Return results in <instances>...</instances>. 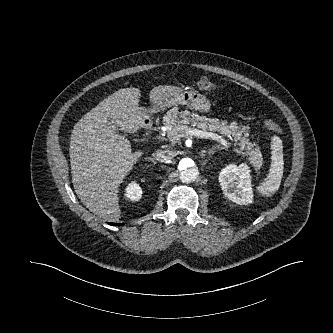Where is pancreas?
I'll use <instances>...</instances> for the list:
<instances>
[{
	"instance_id": "1",
	"label": "pancreas",
	"mask_w": 333,
	"mask_h": 333,
	"mask_svg": "<svg viewBox=\"0 0 333 333\" xmlns=\"http://www.w3.org/2000/svg\"><path fill=\"white\" fill-rule=\"evenodd\" d=\"M191 123L202 131H218L222 135L232 138L235 141L236 151L248 156L250 164L258 171L262 166V155L260 149L249 142L246 127L238 126L237 122L228 124L226 121L210 119L205 116L190 113L188 111L178 113V108L174 107L164 117V125L167 128V136L172 143H178L186 137V133L191 127ZM244 133V135H242Z\"/></svg>"
}]
</instances>
